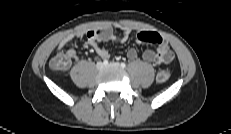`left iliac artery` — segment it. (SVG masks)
<instances>
[{
	"mask_svg": "<svg viewBox=\"0 0 231 134\" xmlns=\"http://www.w3.org/2000/svg\"><path fill=\"white\" fill-rule=\"evenodd\" d=\"M121 67H122V68H125V67H126V64H125V63H121Z\"/></svg>",
	"mask_w": 231,
	"mask_h": 134,
	"instance_id": "left-iliac-artery-1",
	"label": "left iliac artery"
}]
</instances>
